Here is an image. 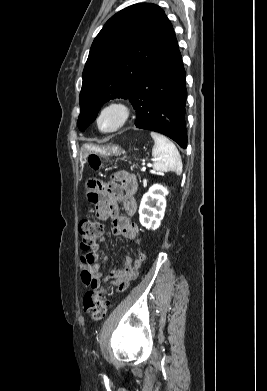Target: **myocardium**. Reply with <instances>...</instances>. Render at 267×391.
Wrapping results in <instances>:
<instances>
[{
  "label": "myocardium",
  "mask_w": 267,
  "mask_h": 391,
  "mask_svg": "<svg viewBox=\"0 0 267 391\" xmlns=\"http://www.w3.org/2000/svg\"><path fill=\"white\" fill-rule=\"evenodd\" d=\"M109 109L118 110L120 112L121 118H120L118 125L115 128L110 129V130H103L100 126V119H101L102 115L104 114V112H106ZM130 116H131V108L126 101L112 100V101L107 102L106 104H104L100 108V110L97 114V117H96V125H97L98 130L102 133H105V134L114 133V132H117L118 130L122 129L127 124V122L130 119Z\"/></svg>",
  "instance_id": "myocardium-1"
}]
</instances>
